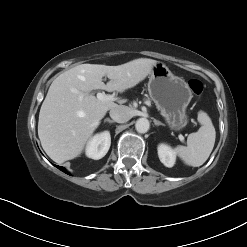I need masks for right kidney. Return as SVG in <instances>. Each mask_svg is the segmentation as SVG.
Listing matches in <instances>:
<instances>
[{
  "label": "right kidney",
  "mask_w": 247,
  "mask_h": 247,
  "mask_svg": "<svg viewBox=\"0 0 247 247\" xmlns=\"http://www.w3.org/2000/svg\"><path fill=\"white\" fill-rule=\"evenodd\" d=\"M111 145L109 131L96 134L91 138L86 146V156L95 160L101 159L106 155Z\"/></svg>",
  "instance_id": "right-kidney-1"
}]
</instances>
